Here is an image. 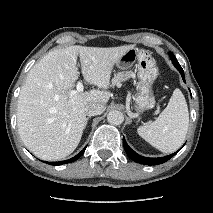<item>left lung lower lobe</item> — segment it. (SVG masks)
<instances>
[{
  "mask_svg": "<svg viewBox=\"0 0 213 213\" xmlns=\"http://www.w3.org/2000/svg\"><path fill=\"white\" fill-rule=\"evenodd\" d=\"M178 71L181 73L183 81L185 82L183 69L179 68ZM123 146L130 159H132L135 162H138V163H141L144 165H149V166L162 164V163L168 161L170 158H172L179 151L178 150L177 152H175L171 155L164 156V157L148 158V157L141 156V155L137 154L135 151H133L126 143L125 138H123Z\"/></svg>",
  "mask_w": 213,
  "mask_h": 213,
  "instance_id": "left-lung-lower-lobe-1",
  "label": "left lung lower lobe"
}]
</instances>
